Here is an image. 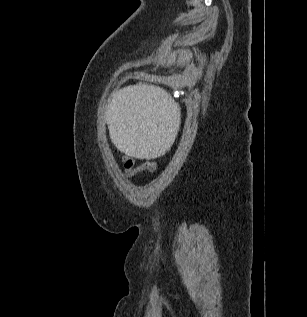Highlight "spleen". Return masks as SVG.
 <instances>
[{
	"instance_id": "1",
	"label": "spleen",
	"mask_w": 307,
	"mask_h": 317,
	"mask_svg": "<svg viewBox=\"0 0 307 317\" xmlns=\"http://www.w3.org/2000/svg\"><path fill=\"white\" fill-rule=\"evenodd\" d=\"M178 108L160 86H130L115 93L106 120L112 142L132 156L170 155ZM159 148V150H158ZM159 153V155H158Z\"/></svg>"
}]
</instances>
